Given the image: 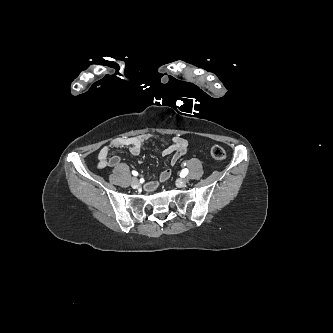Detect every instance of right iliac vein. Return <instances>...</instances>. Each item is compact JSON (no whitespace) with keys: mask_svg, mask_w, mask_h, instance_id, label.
Returning <instances> with one entry per match:
<instances>
[{"mask_svg":"<svg viewBox=\"0 0 333 333\" xmlns=\"http://www.w3.org/2000/svg\"><path fill=\"white\" fill-rule=\"evenodd\" d=\"M131 185L134 187V188H137L139 186V180L136 178V177H133L131 179Z\"/></svg>","mask_w":333,"mask_h":333,"instance_id":"63e3f726","label":"right iliac vein"}]
</instances>
